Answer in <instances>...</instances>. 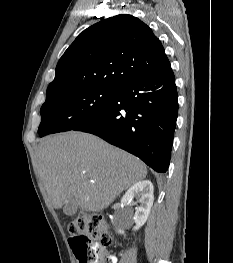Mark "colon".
Listing matches in <instances>:
<instances>
[{
    "label": "colon",
    "mask_w": 233,
    "mask_h": 263,
    "mask_svg": "<svg viewBox=\"0 0 233 263\" xmlns=\"http://www.w3.org/2000/svg\"><path fill=\"white\" fill-rule=\"evenodd\" d=\"M70 246L79 263H105L112 240L99 213H80L68 224Z\"/></svg>",
    "instance_id": "obj_1"
}]
</instances>
